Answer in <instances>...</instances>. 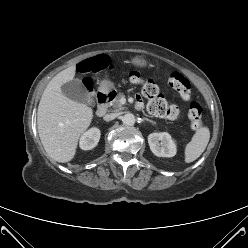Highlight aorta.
Segmentation results:
<instances>
[{"instance_id":"1","label":"aorta","mask_w":248,"mask_h":248,"mask_svg":"<svg viewBox=\"0 0 248 248\" xmlns=\"http://www.w3.org/2000/svg\"><path fill=\"white\" fill-rule=\"evenodd\" d=\"M122 122L124 125L132 126L135 124V116L131 113H127L122 117Z\"/></svg>"}]
</instances>
